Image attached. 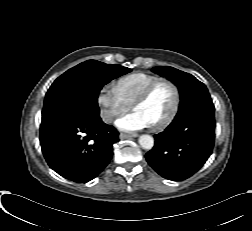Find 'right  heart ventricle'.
Returning <instances> with one entry per match:
<instances>
[{"label": "right heart ventricle", "instance_id": "e07e8e85", "mask_svg": "<svg viewBox=\"0 0 252 231\" xmlns=\"http://www.w3.org/2000/svg\"><path fill=\"white\" fill-rule=\"evenodd\" d=\"M158 78V76L148 73H133L119 78L116 88L121 97L131 105L141 92Z\"/></svg>", "mask_w": 252, "mask_h": 231}]
</instances>
